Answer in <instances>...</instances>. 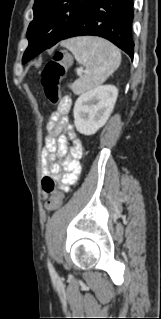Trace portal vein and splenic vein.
<instances>
[{"label": "portal vein and splenic vein", "mask_w": 161, "mask_h": 319, "mask_svg": "<svg viewBox=\"0 0 161 319\" xmlns=\"http://www.w3.org/2000/svg\"><path fill=\"white\" fill-rule=\"evenodd\" d=\"M82 72H83V70H79V71L77 72V74L80 75Z\"/></svg>", "instance_id": "1"}]
</instances>
